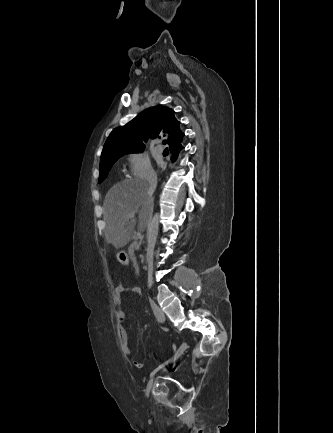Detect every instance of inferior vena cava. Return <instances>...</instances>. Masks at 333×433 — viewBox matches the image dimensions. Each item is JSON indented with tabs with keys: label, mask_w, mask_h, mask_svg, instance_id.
<instances>
[{
	"label": "inferior vena cava",
	"mask_w": 333,
	"mask_h": 433,
	"mask_svg": "<svg viewBox=\"0 0 333 433\" xmlns=\"http://www.w3.org/2000/svg\"><path fill=\"white\" fill-rule=\"evenodd\" d=\"M147 182L149 184V193H150V196L152 197V195L155 192L156 187H157V175L154 171H151L148 173ZM152 310H153L155 318L158 322L165 321V315L158 306L152 305Z\"/></svg>",
	"instance_id": "602c4592"
}]
</instances>
